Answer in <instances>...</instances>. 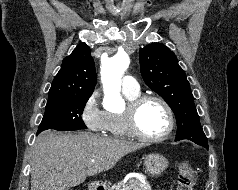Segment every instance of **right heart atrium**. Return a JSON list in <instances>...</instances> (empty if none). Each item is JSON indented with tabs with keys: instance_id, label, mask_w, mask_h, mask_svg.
Segmentation results:
<instances>
[{
	"instance_id": "obj_1",
	"label": "right heart atrium",
	"mask_w": 238,
	"mask_h": 190,
	"mask_svg": "<svg viewBox=\"0 0 238 190\" xmlns=\"http://www.w3.org/2000/svg\"><path fill=\"white\" fill-rule=\"evenodd\" d=\"M99 97L97 90L88 96L81 110V119L90 131L104 133L107 131V112L101 108Z\"/></svg>"
}]
</instances>
